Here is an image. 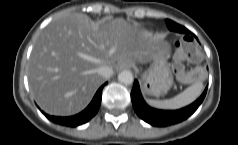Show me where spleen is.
I'll use <instances>...</instances> for the list:
<instances>
[{
	"label": "spleen",
	"instance_id": "spleen-1",
	"mask_svg": "<svg viewBox=\"0 0 238 145\" xmlns=\"http://www.w3.org/2000/svg\"><path fill=\"white\" fill-rule=\"evenodd\" d=\"M203 91L202 81H196L177 96L166 100L147 99V103L153 107L162 109H178L195 101Z\"/></svg>",
	"mask_w": 238,
	"mask_h": 145
}]
</instances>
